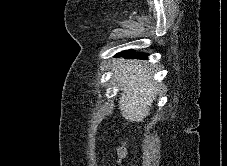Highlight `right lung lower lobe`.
<instances>
[{"mask_svg":"<svg viewBox=\"0 0 227 166\" xmlns=\"http://www.w3.org/2000/svg\"><path fill=\"white\" fill-rule=\"evenodd\" d=\"M127 52H131V51H124V52H122V53H120V54H126ZM119 54V55H120ZM148 55L147 54H137V55H135L134 57H137V58H146Z\"/></svg>","mask_w":227,"mask_h":166,"instance_id":"right-lung-lower-lobe-1","label":"right lung lower lobe"}]
</instances>
